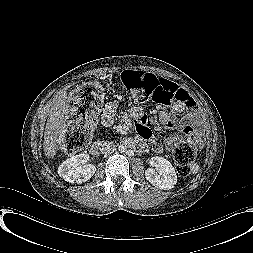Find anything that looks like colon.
<instances>
[{"label": "colon", "mask_w": 253, "mask_h": 253, "mask_svg": "<svg viewBox=\"0 0 253 253\" xmlns=\"http://www.w3.org/2000/svg\"><path fill=\"white\" fill-rule=\"evenodd\" d=\"M121 80L129 96L140 103L170 105L173 95L180 91L172 82L140 70H125ZM103 97L102 87L92 82L82 84L72 93L61 139V149L65 154H75L88 143ZM196 155L191 141L176 142L173 159L181 176L190 173Z\"/></svg>", "instance_id": "colon-1"}]
</instances>
